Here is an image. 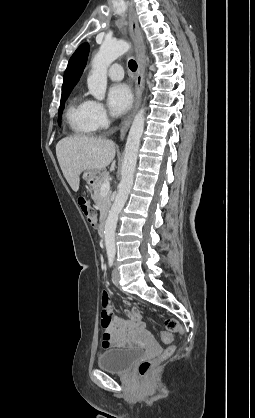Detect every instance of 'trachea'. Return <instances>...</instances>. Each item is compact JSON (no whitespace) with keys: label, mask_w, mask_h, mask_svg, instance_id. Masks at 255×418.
<instances>
[{"label":"trachea","mask_w":255,"mask_h":418,"mask_svg":"<svg viewBox=\"0 0 255 418\" xmlns=\"http://www.w3.org/2000/svg\"><path fill=\"white\" fill-rule=\"evenodd\" d=\"M128 66L129 69L133 72L137 70V63L133 59L129 60Z\"/></svg>","instance_id":"obj_1"}]
</instances>
